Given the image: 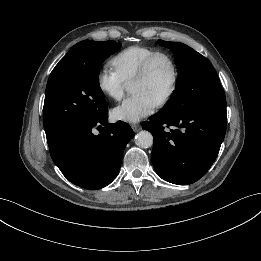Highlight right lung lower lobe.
<instances>
[{
  "instance_id": "98d812e1",
  "label": "right lung lower lobe",
  "mask_w": 261,
  "mask_h": 261,
  "mask_svg": "<svg viewBox=\"0 0 261 261\" xmlns=\"http://www.w3.org/2000/svg\"><path fill=\"white\" fill-rule=\"evenodd\" d=\"M107 119L108 113L98 121L72 128L48 143L54 163L75 185L100 189L111 183L119 171L123 151L134 132L125 122L110 124ZM95 127L103 132L94 135Z\"/></svg>"
}]
</instances>
